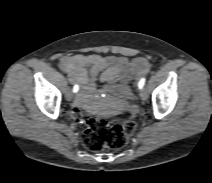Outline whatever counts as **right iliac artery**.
Wrapping results in <instances>:
<instances>
[{"mask_svg": "<svg viewBox=\"0 0 212 183\" xmlns=\"http://www.w3.org/2000/svg\"><path fill=\"white\" fill-rule=\"evenodd\" d=\"M78 90H79V86L78 85H75L73 87V92L76 93V92H78Z\"/></svg>", "mask_w": 212, "mask_h": 183, "instance_id": "1", "label": "right iliac artery"}]
</instances>
